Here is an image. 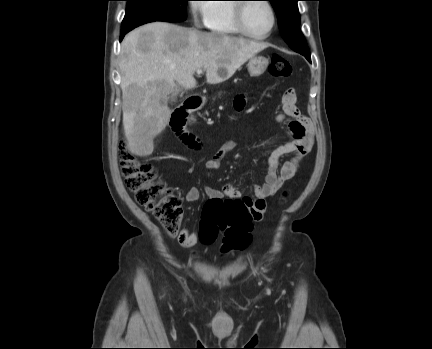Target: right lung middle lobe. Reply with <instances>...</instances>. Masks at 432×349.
Here are the masks:
<instances>
[{"instance_id":"right-lung-middle-lobe-1","label":"right lung middle lobe","mask_w":432,"mask_h":349,"mask_svg":"<svg viewBox=\"0 0 432 349\" xmlns=\"http://www.w3.org/2000/svg\"><path fill=\"white\" fill-rule=\"evenodd\" d=\"M128 1L122 31L153 21L182 22L186 19L189 0H126Z\"/></svg>"}]
</instances>
